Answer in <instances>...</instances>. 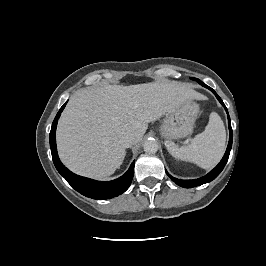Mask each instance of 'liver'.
I'll return each instance as SVG.
<instances>
[{
    "label": "liver",
    "mask_w": 266,
    "mask_h": 266,
    "mask_svg": "<svg viewBox=\"0 0 266 266\" xmlns=\"http://www.w3.org/2000/svg\"><path fill=\"white\" fill-rule=\"evenodd\" d=\"M199 98L186 83L169 80L81 89L71 96L58 123L59 157L76 174L108 177L125 158V134L137 143L149 122Z\"/></svg>",
    "instance_id": "obj_1"
}]
</instances>
